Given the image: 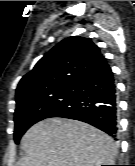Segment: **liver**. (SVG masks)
Segmentation results:
<instances>
[{
	"instance_id": "1",
	"label": "liver",
	"mask_w": 135,
	"mask_h": 166,
	"mask_svg": "<svg viewBox=\"0 0 135 166\" xmlns=\"http://www.w3.org/2000/svg\"><path fill=\"white\" fill-rule=\"evenodd\" d=\"M25 152L18 166L111 165L117 153L113 139L97 128L72 119L48 118L22 137Z\"/></svg>"
}]
</instances>
